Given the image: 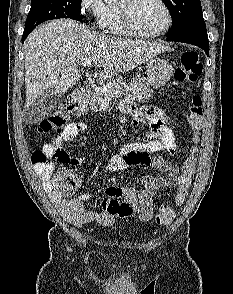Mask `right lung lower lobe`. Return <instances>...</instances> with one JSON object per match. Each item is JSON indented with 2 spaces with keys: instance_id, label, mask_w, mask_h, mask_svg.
I'll return each mask as SVG.
<instances>
[{
  "instance_id": "98d812e1",
  "label": "right lung lower lobe",
  "mask_w": 233,
  "mask_h": 294,
  "mask_svg": "<svg viewBox=\"0 0 233 294\" xmlns=\"http://www.w3.org/2000/svg\"><path fill=\"white\" fill-rule=\"evenodd\" d=\"M32 30H24L23 36H22V42H24V40L26 39V37L28 36V34L31 32Z\"/></svg>"
}]
</instances>
